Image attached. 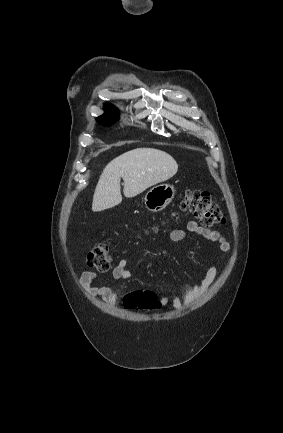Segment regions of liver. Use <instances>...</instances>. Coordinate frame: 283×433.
Here are the masks:
<instances>
[{
    "instance_id": "liver-1",
    "label": "liver",
    "mask_w": 283,
    "mask_h": 433,
    "mask_svg": "<svg viewBox=\"0 0 283 433\" xmlns=\"http://www.w3.org/2000/svg\"><path fill=\"white\" fill-rule=\"evenodd\" d=\"M178 170V164L168 152L158 148H134L113 158L103 168L96 184L92 210L116 206L122 200L120 178L124 180L123 192L131 198L148 186L168 180Z\"/></svg>"
}]
</instances>
